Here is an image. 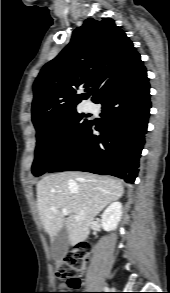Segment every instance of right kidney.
I'll return each mask as SVG.
<instances>
[{
  "label": "right kidney",
  "instance_id": "right-kidney-1",
  "mask_svg": "<svg viewBox=\"0 0 170 293\" xmlns=\"http://www.w3.org/2000/svg\"><path fill=\"white\" fill-rule=\"evenodd\" d=\"M122 204L113 202L102 214V227L105 231L115 230L122 217Z\"/></svg>",
  "mask_w": 170,
  "mask_h": 293
}]
</instances>
